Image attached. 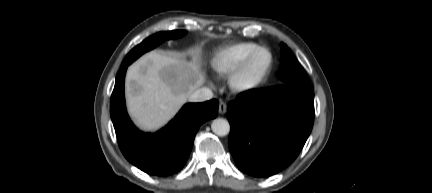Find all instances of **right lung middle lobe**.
<instances>
[{
    "label": "right lung middle lobe",
    "instance_id": "obj_1",
    "mask_svg": "<svg viewBox=\"0 0 432 193\" xmlns=\"http://www.w3.org/2000/svg\"><path fill=\"white\" fill-rule=\"evenodd\" d=\"M186 34V31L184 30H175V31H168V32H159L155 35L150 36L149 38L145 39L143 42H141L139 45L134 47L125 57V59L122 62V65H129L134 60H136L139 56H141L143 53L155 48L157 45L162 43L165 40L178 38ZM121 65V66H122Z\"/></svg>",
    "mask_w": 432,
    "mask_h": 193
}]
</instances>
